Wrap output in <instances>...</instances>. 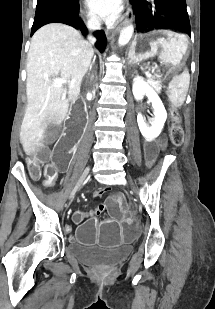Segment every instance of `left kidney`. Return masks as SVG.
Instances as JSON below:
<instances>
[{"instance_id": "left-kidney-1", "label": "left kidney", "mask_w": 215, "mask_h": 309, "mask_svg": "<svg viewBox=\"0 0 215 309\" xmlns=\"http://www.w3.org/2000/svg\"><path fill=\"white\" fill-rule=\"evenodd\" d=\"M132 92L137 100H140V98H143L144 94H146L154 108L153 114H155V116L150 120L151 126H149L148 122H145V118H143L142 114H137L138 126L143 136H145L146 140H154L156 136H159L164 126V122L167 118V110L157 92L143 80L142 76H136V78H134Z\"/></svg>"}]
</instances>
